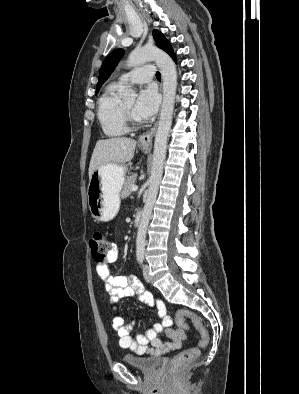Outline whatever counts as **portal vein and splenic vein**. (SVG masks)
<instances>
[{
	"label": "portal vein and splenic vein",
	"mask_w": 299,
	"mask_h": 394,
	"mask_svg": "<svg viewBox=\"0 0 299 394\" xmlns=\"http://www.w3.org/2000/svg\"><path fill=\"white\" fill-rule=\"evenodd\" d=\"M131 190H132V191H137V190H138V186L134 185V186L131 188Z\"/></svg>",
	"instance_id": "1"
}]
</instances>
